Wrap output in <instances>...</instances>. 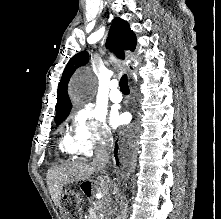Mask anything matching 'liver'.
<instances>
[{"instance_id": "1", "label": "liver", "mask_w": 221, "mask_h": 219, "mask_svg": "<svg viewBox=\"0 0 221 219\" xmlns=\"http://www.w3.org/2000/svg\"><path fill=\"white\" fill-rule=\"evenodd\" d=\"M97 172L95 166L91 163L75 161L66 163L61 166L50 168L47 172V185L51 198L56 206L60 205V196L64 186L74 183L89 180L91 175ZM96 188L97 193L101 194L106 205L105 211L111 213L109 202H111L110 193H114L116 186L108 178L100 177Z\"/></svg>"}]
</instances>
